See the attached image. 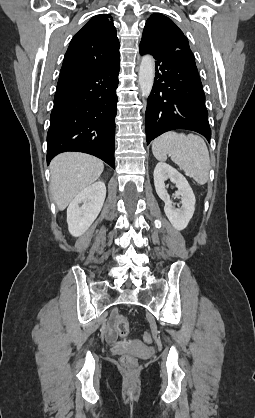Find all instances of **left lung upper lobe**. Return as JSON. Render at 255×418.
Listing matches in <instances>:
<instances>
[{
    "label": "left lung upper lobe",
    "mask_w": 255,
    "mask_h": 418,
    "mask_svg": "<svg viewBox=\"0 0 255 418\" xmlns=\"http://www.w3.org/2000/svg\"><path fill=\"white\" fill-rule=\"evenodd\" d=\"M140 48L151 54L191 52L188 39L183 32L171 19L159 13L148 18Z\"/></svg>",
    "instance_id": "1"
}]
</instances>
